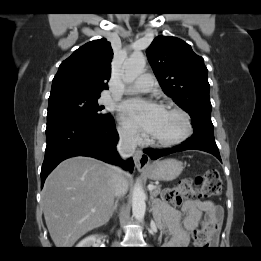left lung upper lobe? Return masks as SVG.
<instances>
[{"label": "left lung upper lobe", "instance_id": "5c2ea615", "mask_svg": "<svg viewBox=\"0 0 261 261\" xmlns=\"http://www.w3.org/2000/svg\"><path fill=\"white\" fill-rule=\"evenodd\" d=\"M146 54L163 91L190 115L194 130L213 129L203 58L189 44L172 36L156 37Z\"/></svg>", "mask_w": 261, "mask_h": 261}]
</instances>
